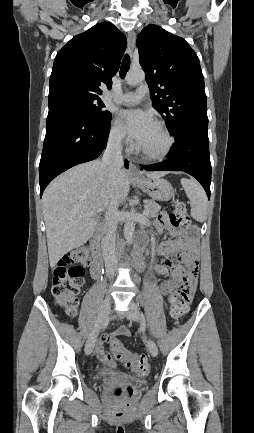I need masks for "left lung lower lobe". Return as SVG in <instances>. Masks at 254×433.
I'll return each mask as SVG.
<instances>
[{"instance_id": "left-lung-lower-lobe-1", "label": "left lung lower lobe", "mask_w": 254, "mask_h": 433, "mask_svg": "<svg viewBox=\"0 0 254 433\" xmlns=\"http://www.w3.org/2000/svg\"><path fill=\"white\" fill-rule=\"evenodd\" d=\"M208 128L193 126L180 131L169 157L157 164L140 165L147 171H183L195 177L210 198L211 163Z\"/></svg>"}]
</instances>
